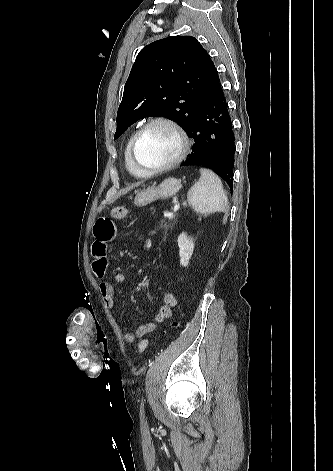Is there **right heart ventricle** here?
Segmentation results:
<instances>
[{
    "label": "right heart ventricle",
    "instance_id": "obj_1",
    "mask_svg": "<svg viewBox=\"0 0 333 471\" xmlns=\"http://www.w3.org/2000/svg\"><path fill=\"white\" fill-rule=\"evenodd\" d=\"M133 136H134V133H132L130 135V137L128 138V141L126 143V146H125V150H124L125 167L129 171V173H131L132 175L137 176V177H145V175L141 174V172H139L134 167V165L131 161V158H130V145H131V141H132Z\"/></svg>",
    "mask_w": 333,
    "mask_h": 471
}]
</instances>
